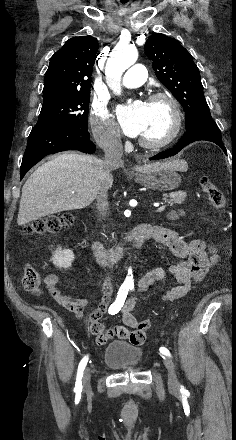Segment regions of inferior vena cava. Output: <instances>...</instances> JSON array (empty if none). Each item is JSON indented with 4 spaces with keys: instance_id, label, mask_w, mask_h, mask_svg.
<instances>
[{
    "instance_id": "obj_1",
    "label": "inferior vena cava",
    "mask_w": 236,
    "mask_h": 440,
    "mask_svg": "<svg viewBox=\"0 0 236 440\" xmlns=\"http://www.w3.org/2000/svg\"><path fill=\"white\" fill-rule=\"evenodd\" d=\"M105 152V167L108 172L123 165L122 154L123 146L121 140L116 136H108L104 146ZM97 210L102 217H107L109 214V202L107 190L102 188L97 195Z\"/></svg>"
}]
</instances>
